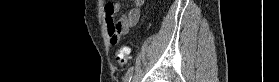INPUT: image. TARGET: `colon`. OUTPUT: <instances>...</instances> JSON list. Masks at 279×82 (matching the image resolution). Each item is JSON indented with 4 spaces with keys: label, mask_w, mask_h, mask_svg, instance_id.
Here are the masks:
<instances>
[{
    "label": "colon",
    "mask_w": 279,
    "mask_h": 82,
    "mask_svg": "<svg viewBox=\"0 0 279 82\" xmlns=\"http://www.w3.org/2000/svg\"><path fill=\"white\" fill-rule=\"evenodd\" d=\"M131 52V48L129 45L120 46L115 54V62L117 65L124 67L129 59V54Z\"/></svg>",
    "instance_id": "1"
}]
</instances>
